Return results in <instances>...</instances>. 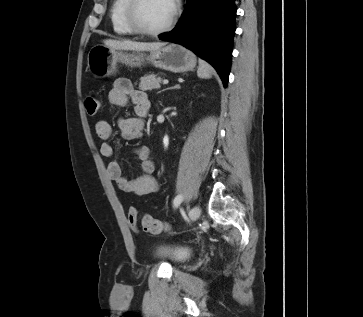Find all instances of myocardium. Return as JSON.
Masks as SVG:
<instances>
[{
    "label": "myocardium",
    "mask_w": 363,
    "mask_h": 317,
    "mask_svg": "<svg viewBox=\"0 0 363 317\" xmlns=\"http://www.w3.org/2000/svg\"><path fill=\"white\" fill-rule=\"evenodd\" d=\"M140 3L141 0H128L124 9L125 22L133 33L145 37H157L168 32L172 28L178 15V4L175 0L172 1L173 9L169 20L162 27L156 30L146 29L138 22L137 9Z\"/></svg>",
    "instance_id": "obj_1"
}]
</instances>
